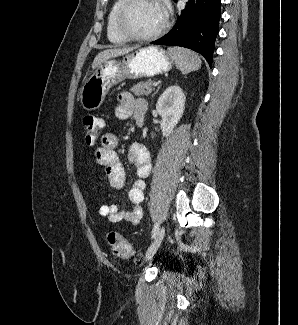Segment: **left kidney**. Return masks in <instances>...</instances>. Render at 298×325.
<instances>
[{"label": "left kidney", "instance_id": "1", "mask_svg": "<svg viewBox=\"0 0 298 325\" xmlns=\"http://www.w3.org/2000/svg\"><path fill=\"white\" fill-rule=\"evenodd\" d=\"M185 102L184 90L178 84L167 86L164 92L160 94L156 102V110L162 118L160 122L162 136H170L171 132H173V128L183 116Z\"/></svg>", "mask_w": 298, "mask_h": 325}]
</instances>
